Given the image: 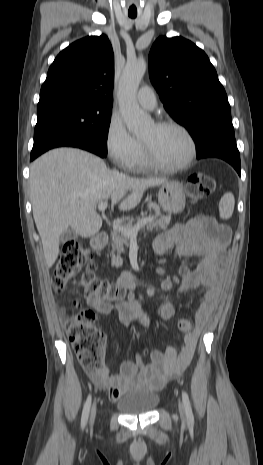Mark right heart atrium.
Here are the masks:
<instances>
[{
	"instance_id": "1",
	"label": "right heart atrium",
	"mask_w": 263,
	"mask_h": 465,
	"mask_svg": "<svg viewBox=\"0 0 263 465\" xmlns=\"http://www.w3.org/2000/svg\"><path fill=\"white\" fill-rule=\"evenodd\" d=\"M105 147L116 164L129 168L139 154L140 143L128 132L123 120L112 115L105 133Z\"/></svg>"
}]
</instances>
